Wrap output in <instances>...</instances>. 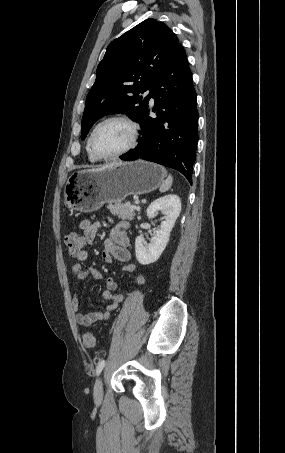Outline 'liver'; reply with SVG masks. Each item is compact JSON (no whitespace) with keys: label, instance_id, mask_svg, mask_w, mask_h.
Here are the masks:
<instances>
[{"label":"liver","instance_id":"obj_1","mask_svg":"<svg viewBox=\"0 0 285 453\" xmlns=\"http://www.w3.org/2000/svg\"><path fill=\"white\" fill-rule=\"evenodd\" d=\"M107 166H108V165H107ZM104 167H106V166H104ZM104 167H102V168H104ZM102 168H97V169H96V168H93V169H89L88 171H93V172H94V171H98V170H100V169H102Z\"/></svg>","mask_w":285,"mask_h":453}]
</instances>
